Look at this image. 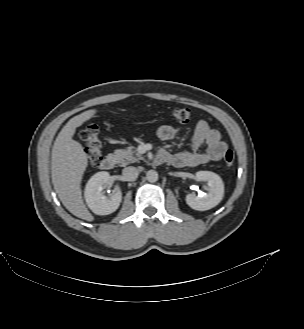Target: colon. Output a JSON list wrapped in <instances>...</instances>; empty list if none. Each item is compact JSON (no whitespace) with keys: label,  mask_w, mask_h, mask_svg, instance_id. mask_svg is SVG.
Returning <instances> with one entry per match:
<instances>
[{"label":"colon","mask_w":304,"mask_h":329,"mask_svg":"<svg viewBox=\"0 0 304 329\" xmlns=\"http://www.w3.org/2000/svg\"><path fill=\"white\" fill-rule=\"evenodd\" d=\"M176 121L185 123L189 121L191 112L187 108H178L173 112ZM80 138L87 145V159L90 166H96L102 159V143L99 138V128L96 125H88L80 132ZM224 163L228 166L233 165L235 161L234 152L227 149L223 156Z\"/></svg>","instance_id":"colon-1"}]
</instances>
